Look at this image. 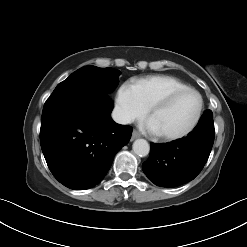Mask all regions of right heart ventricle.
Wrapping results in <instances>:
<instances>
[{"label":"right heart ventricle","mask_w":247,"mask_h":247,"mask_svg":"<svg viewBox=\"0 0 247 247\" xmlns=\"http://www.w3.org/2000/svg\"><path fill=\"white\" fill-rule=\"evenodd\" d=\"M134 85L147 109L165 94L189 87L181 80L167 75L148 76L138 80Z\"/></svg>","instance_id":"1"}]
</instances>
